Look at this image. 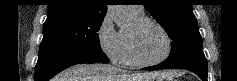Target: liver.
Masks as SVG:
<instances>
[{"mask_svg": "<svg viewBox=\"0 0 237 81\" xmlns=\"http://www.w3.org/2000/svg\"><path fill=\"white\" fill-rule=\"evenodd\" d=\"M164 72L126 73L107 64H77L61 72L55 81H151Z\"/></svg>", "mask_w": 237, "mask_h": 81, "instance_id": "6515ba94", "label": "liver"}]
</instances>
